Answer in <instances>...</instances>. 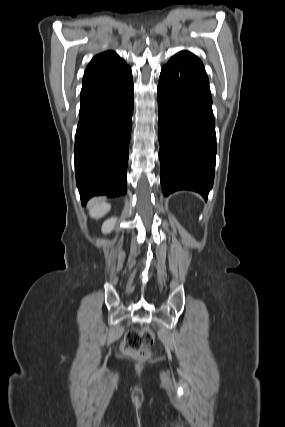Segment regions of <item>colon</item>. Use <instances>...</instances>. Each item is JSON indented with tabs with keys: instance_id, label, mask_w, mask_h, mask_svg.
Here are the masks:
<instances>
[{
	"instance_id": "colon-1",
	"label": "colon",
	"mask_w": 285,
	"mask_h": 427,
	"mask_svg": "<svg viewBox=\"0 0 285 427\" xmlns=\"http://www.w3.org/2000/svg\"><path fill=\"white\" fill-rule=\"evenodd\" d=\"M154 341V333L150 328L143 327L129 330L124 338L123 349L146 359L150 356V346Z\"/></svg>"
}]
</instances>
